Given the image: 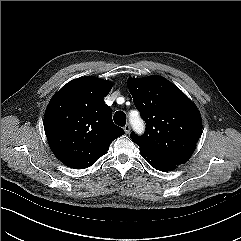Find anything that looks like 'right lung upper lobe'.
I'll use <instances>...</instances> for the list:
<instances>
[{
    "label": "right lung upper lobe",
    "mask_w": 241,
    "mask_h": 241,
    "mask_svg": "<svg viewBox=\"0 0 241 241\" xmlns=\"http://www.w3.org/2000/svg\"><path fill=\"white\" fill-rule=\"evenodd\" d=\"M111 88L109 81L86 76L67 83L50 100L44 115L45 133L55 156L67 166H92L124 134L104 103Z\"/></svg>",
    "instance_id": "right-lung-upper-lobe-1"
}]
</instances>
